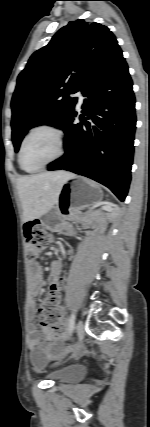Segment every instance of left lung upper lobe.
<instances>
[{
	"label": "left lung upper lobe",
	"instance_id": "left-lung-upper-lobe-1",
	"mask_svg": "<svg viewBox=\"0 0 150 427\" xmlns=\"http://www.w3.org/2000/svg\"><path fill=\"white\" fill-rule=\"evenodd\" d=\"M113 33L82 19L61 28L36 51L20 73L12 97V141L17 152L27 131L48 124L62 128L77 98L98 67L118 48Z\"/></svg>",
	"mask_w": 150,
	"mask_h": 427
}]
</instances>
